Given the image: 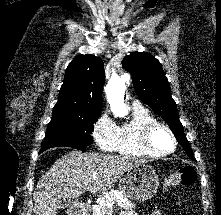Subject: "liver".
<instances>
[{"instance_id": "liver-1", "label": "liver", "mask_w": 221, "mask_h": 215, "mask_svg": "<svg viewBox=\"0 0 221 215\" xmlns=\"http://www.w3.org/2000/svg\"><path fill=\"white\" fill-rule=\"evenodd\" d=\"M141 163L132 157L73 150L57 159L37 183L34 215H56L61 198L106 192L125 171Z\"/></svg>"}]
</instances>
